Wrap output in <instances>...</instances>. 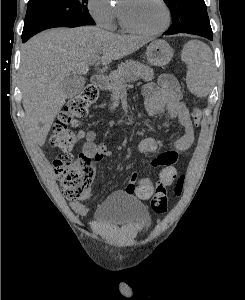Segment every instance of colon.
Masks as SVG:
<instances>
[{
	"label": "colon",
	"mask_w": 245,
	"mask_h": 300,
	"mask_svg": "<svg viewBox=\"0 0 245 300\" xmlns=\"http://www.w3.org/2000/svg\"><path fill=\"white\" fill-rule=\"evenodd\" d=\"M97 97L98 90L93 85L85 86L73 96L60 113L50 138V145L64 152L54 159L53 166L61 187L69 199L79 198L93 178V160L81 155L78 160H74L68 152L79 139L72 129L78 126V119L88 113L89 107ZM192 118L196 125L199 124L201 112L198 108L193 109ZM184 182L185 178L182 175L175 185L177 196L182 194ZM136 193L140 198H151V207L154 212L162 214L167 211V188L166 190H155L149 180H141L136 188Z\"/></svg>",
	"instance_id": "1"
}]
</instances>
